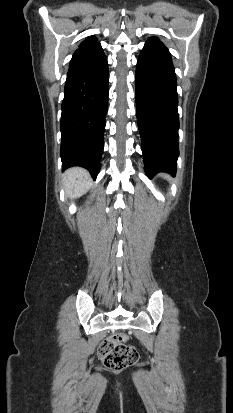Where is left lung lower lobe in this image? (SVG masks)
<instances>
[{
	"mask_svg": "<svg viewBox=\"0 0 233 413\" xmlns=\"http://www.w3.org/2000/svg\"><path fill=\"white\" fill-rule=\"evenodd\" d=\"M136 112L148 177L176 173L178 96L171 55L158 38H149L136 67Z\"/></svg>",
	"mask_w": 233,
	"mask_h": 413,
	"instance_id": "0a47b994",
	"label": "left lung lower lobe"
}]
</instances>
